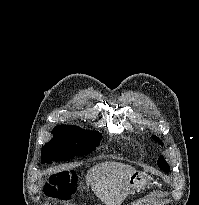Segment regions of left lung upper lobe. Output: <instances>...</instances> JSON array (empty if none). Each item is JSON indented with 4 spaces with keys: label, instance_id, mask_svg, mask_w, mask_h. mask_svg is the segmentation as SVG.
Masks as SVG:
<instances>
[{
    "label": "left lung upper lobe",
    "instance_id": "left-lung-upper-lobe-1",
    "mask_svg": "<svg viewBox=\"0 0 199 205\" xmlns=\"http://www.w3.org/2000/svg\"><path fill=\"white\" fill-rule=\"evenodd\" d=\"M153 138L162 145V141L159 140V138H157L155 136H153ZM158 166L162 170H164L166 172H169V166H168L167 162L165 161V159L163 158V156L159 157V159H158Z\"/></svg>",
    "mask_w": 199,
    "mask_h": 205
}]
</instances>
